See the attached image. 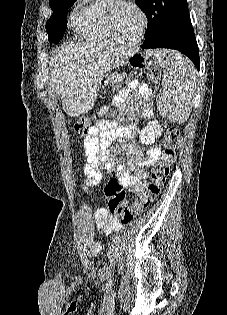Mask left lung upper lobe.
<instances>
[{
	"instance_id": "1",
	"label": "left lung upper lobe",
	"mask_w": 227,
	"mask_h": 315,
	"mask_svg": "<svg viewBox=\"0 0 227 315\" xmlns=\"http://www.w3.org/2000/svg\"><path fill=\"white\" fill-rule=\"evenodd\" d=\"M149 20L146 39L155 36L169 24L189 18L186 0H135Z\"/></svg>"
}]
</instances>
